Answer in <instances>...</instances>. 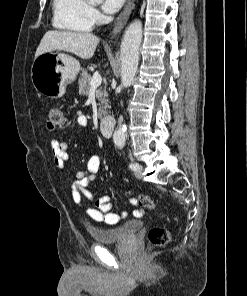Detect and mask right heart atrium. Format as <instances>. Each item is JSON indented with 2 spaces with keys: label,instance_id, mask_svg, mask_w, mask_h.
Listing matches in <instances>:
<instances>
[{
  "label": "right heart atrium",
  "instance_id": "obj_1",
  "mask_svg": "<svg viewBox=\"0 0 247 296\" xmlns=\"http://www.w3.org/2000/svg\"><path fill=\"white\" fill-rule=\"evenodd\" d=\"M89 16L93 23L100 22L102 18L100 12L93 6L89 7Z\"/></svg>",
  "mask_w": 247,
  "mask_h": 296
}]
</instances>
